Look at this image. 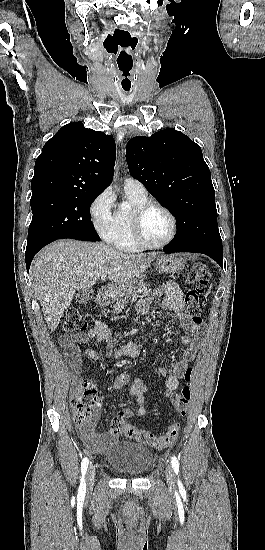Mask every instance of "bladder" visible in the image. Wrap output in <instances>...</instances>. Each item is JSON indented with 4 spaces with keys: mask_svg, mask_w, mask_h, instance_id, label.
Masks as SVG:
<instances>
[{
    "mask_svg": "<svg viewBox=\"0 0 265 550\" xmlns=\"http://www.w3.org/2000/svg\"><path fill=\"white\" fill-rule=\"evenodd\" d=\"M105 456L113 469L131 477L145 475L155 459L154 452L142 444L115 441L107 448Z\"/></svg>",
    "mask_w": 265,
    "mask_h": 550,
    "instance_id": "bladder-1",
    "label": "bladder"
}]
</instances>
